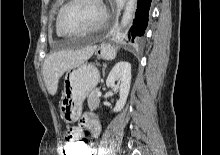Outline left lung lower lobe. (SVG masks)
Wrapping results in <instances>:
<instances>
[{"label": "left lung lower lobe", "mask_w": 220, "mask_h": 155, "mask_svg": "<svg viewBox=\"0 0 220 155\" xmlns=\"http://www.w3.org/2000/svg\"><path fill=\"white\" fill-rule=\"evenodd\" d=\"M150 5L151 0H138L135 20L128 35L129 41L137 45L141 43L148 24Z\"/></svg>", "instance_id": "1"}]
</instances>
